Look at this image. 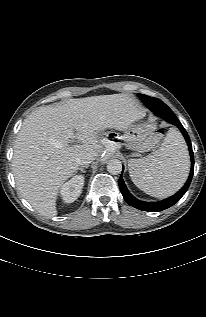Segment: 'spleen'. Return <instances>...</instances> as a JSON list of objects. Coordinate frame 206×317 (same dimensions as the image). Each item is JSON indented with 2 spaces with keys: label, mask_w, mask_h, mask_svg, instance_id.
<instances>
[{
  "label": "spleen",
  "mask_w": 206,
  "mask_h": 317,
  "mask_svg": "<svg viewBox=\"0 0 206 317\" xmlns=\"http://www.w3.org/2000/svg\"><path fill=\"white\" fill-rule=\"evenodd\" d=\"M133 183L146 194L162 198L179 190L189 173V155L180 132L171 128L152 154L129 161Z\"/></svg>",
  "instance_id": "obj_1"
}]
</instances>
